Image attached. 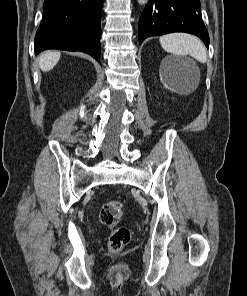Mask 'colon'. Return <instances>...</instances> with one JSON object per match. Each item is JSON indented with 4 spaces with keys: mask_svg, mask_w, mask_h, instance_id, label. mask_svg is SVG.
<instances>
[{
    "mask_svg": "<svg viewBox=\"0 0 247 296\" xmlns=\"http://www.w3.org/2000/svg\"><path fill=\"white\" fill-rule=\"evenodd\" d=\"M123 203L109 201L100 209V219L110 230L108 248L110 252H120L130 241L131 233L127 227L119 226Z\"/></svg>",
    "mask_w": 247,
    "mask_h": 296,
    "instance_id": "1",
    "label": "colon"
}]
</instances>
